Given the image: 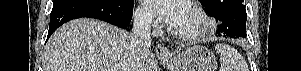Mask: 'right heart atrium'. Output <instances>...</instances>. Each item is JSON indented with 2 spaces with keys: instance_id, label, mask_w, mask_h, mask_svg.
<instances>
[{
  "instance_id": "right-heart-atrium-1",
  "label": "right heart atrium",
  "mask_w": 301,
  "mask_h": 71,
  "mask_svg": "<svg viewBox=\"0 0 301 71\" xmlns=\"http://www.w3.org/2000/svg\"><path fill=\"white\" fill-rule=\"evenodd\" d=\"M137 24L145 30H154L157 23L152 14L144 8H140L136 12Z\"/></svg>"
}]
</instances>
